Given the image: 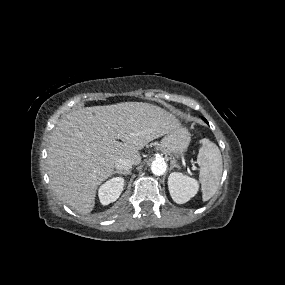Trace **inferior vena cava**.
I'll return each instance as SVG.
<instances>
[{"instance_id":"602c4592","label":"inferior vena cava","mask_w":285,"mask_h":285,"mask_svg":"<svg viewBox=\"0 0 285 285\" xmlns=\"http://www.w3.org/2000/svg\"><path fill=\"white\" fill-rule=\"evenodd\" d=\"M134 162L130 159H118L115 162V168L119 171H128L132 168Z\"/></svg>"}]
</instances>
